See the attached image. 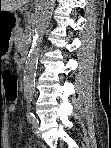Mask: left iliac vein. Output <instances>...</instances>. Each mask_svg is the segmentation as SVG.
Instances as JSON below:
<instances>
[{
	"label": "left iliac vein",
	"mask_w": 111,
	"mask_h": 148,
	"mask_svg": "<svg viewBox=\"0 0 111 148\" xmlns=\"http://www.w3.org/2000/svg\"><path fill=\"white\" fill-rule=\"evenodd\" d=\"M33 132L38 136V123L37 122H35V123H33Z\"/></svg>",
	"instance_id": "1"
}]
</instances>
